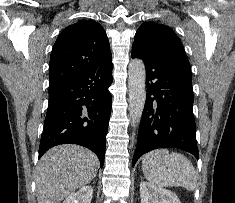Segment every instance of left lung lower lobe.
<instances>
[{
    "mask_svg": "<svg viewBox=\"0 0 235 203\" xmlns=\"http://www.w3.org/2000/svg\"><path fill=\"white\" fill-rule=\"evenodd\" d=\"M132 57L144 61L147 86L133 166L144 153L163 147L198 159L191 70L136 47Z\"/></svg>",
    "mask_w": 235,
    "mask_h": 203,
    "instance_id": "left-lung-lower-lobe-1",
    "label": "left lung lower lobe"
}]
</instances>
